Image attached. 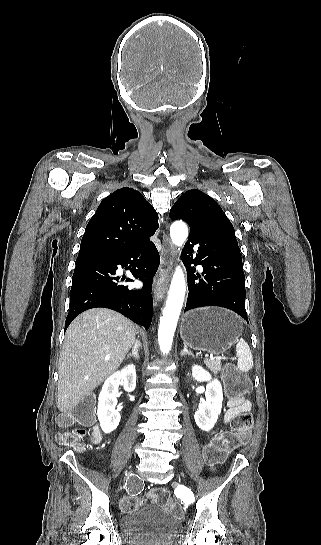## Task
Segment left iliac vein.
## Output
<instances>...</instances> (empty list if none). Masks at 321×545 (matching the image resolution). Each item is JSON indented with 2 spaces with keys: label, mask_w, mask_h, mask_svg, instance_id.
I'll list each match as a JSON object with an SVG mask.
<instances>
[{
  "label": "left iliac vein",
  "mask_w": 321,
  "mask_h": 545,
  "mask_svg": "<svg viewBox=\"0 0 321 545\" xmlns=\"http://www.w3.org/2000/svg\"><path fill=\"white\" fill-rule=\"evenodd\" d=\"M178 479H179V481H180V476H178Z\"/></svg>",
  "instance_id": "left-iliac-vein-1"
}]
</instances>
